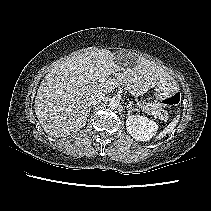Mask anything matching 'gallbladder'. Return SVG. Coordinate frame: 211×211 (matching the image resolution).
I'll return each mask as SVG.
<instances>
[{"mask_svg":"<svg viewBox=\"0 0 211 211\" xmlns=\"http://www.w3.org/2000/svg\"><path fill=\"white\" fill-rule=\"evenodd\" d=\"M121 53H117V56H120ZM122 54H126V53H122Z\"/></svg>","mask_w":211,"mask_h":211,"instance_id":"obj_1","label":"gallbladder"}]
</instances>
